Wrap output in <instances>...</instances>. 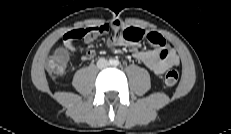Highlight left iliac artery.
Instances as JSON below:
<instances>
[{
  "mask_svg": "<svg viewBox=\"0 0 231 134\" xmlns=\"http://www.w3.org/2000/svg\"><path fill=\"white\" fill-rule=\"evenodd\" d=\"M114 64H115L116 66L119 65V61L116 60V61L114 62Z\"/></svg>",
  "mask_w": 231,
  "mask_h": 134,
  "instance_id": "left-iliac-artery-1",
  "label": "left iliac artery"
}]
</instances>
